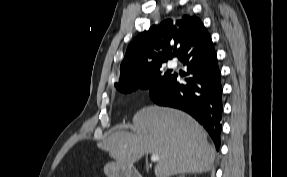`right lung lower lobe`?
Segmentation results:
<instances>
[{"label": "right lung lower lobe", "mask_w": 287, "mask_h": 177, "mask_svg": "<svg viewBox=\"0 0 287 177\" xmlns=\"http://www.w3.org/2000/svg\"><path fill=\"white\" fill-rule=\"evenodd\" d=\"M178 58L187 65L185 84L171 74L149 89L158 105L181 109L193 116L211 136L216 149L220 147L222 130V86L217 56L207 30L185 44Z\"/></svg>", "instance_id": "1"}]
</instances>
